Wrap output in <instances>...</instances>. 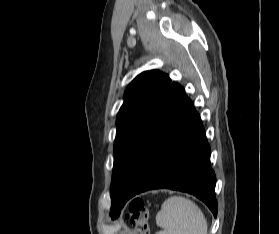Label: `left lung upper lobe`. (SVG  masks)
<instances>
[{
  "label": "left lung upper lobe",
  "instance_id": "5c2ea615",
  "mask_svg": "<svg viewBox=\"0 0 279 234\" xmlns=\"http://www.w3.org/2000/svg\"><path fill=\"white\" fill-rule=\"evenodd\" d=\"M170 86L171 80L167 74L153 70L139 74L125 91L124 103L116 120L117 131L110 191L112 218L118 217L124 206L120 195L135 155Z\"/></svg>",
  "mask_w": 279,
  "mask_h": 234
}]
</instances>
